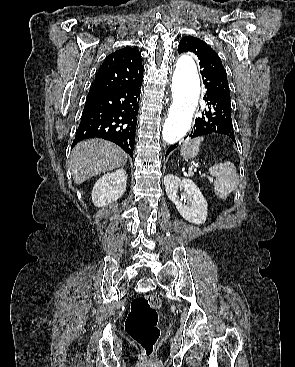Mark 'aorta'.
Returning <instances> with one entry per match:
<instances>
[{"instance_id": "obj_1", "label": "aorta", "mask_w": 295, "mask_h": 367, "mask_svg": "<svg viewBox=\"0 0 295 367\" xmlns=\"http://www.w3.org/2000/svg\"><path fill=\"white\" fill-rule=\"evenodd\" d=\"M171 89L173 102L162 129V137L167 143H176L190 130L200 93L199 74L190 56L183 55L177 60Z\"/></svg>"}]
</instances>
